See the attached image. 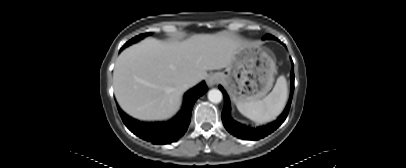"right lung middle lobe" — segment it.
I'll return each mask as SVG.
<instances>
[{
    "instance_id": "obj_1",
    "label": "right lung middle lobe",
    "mask_w": 406,
    "mask_h": 168,
    "mask_svg": "<svg viewBox=\"0 0 406 168\" xmlns=\"http://www.w3.org/2000/svg\"><path fill=\"white\" fill-rule=\"evenodd\" d=\"M147 35H150V34L149 33H144V34L138 35V36L132 38L130 41H128L123 47H126L127 45H129L131 43H134V42L144 38Z\"/></svg>"
}]
</instances>
